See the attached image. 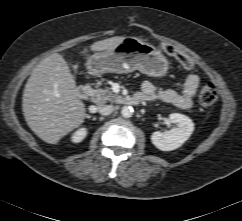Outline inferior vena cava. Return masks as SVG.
<instances>
[{
  "mask_svg": "<svg viewBox=\"0 0 242 221\" xmlns=\"http://www.w3.org/2000/svg\"><path fill=\"white\" fill-rule=\"evenodd\" d=\"M98 111L101 115L107 116L114 111V106H112V105H99Z\"/></svg>",
  "mask_w": 242,
  "mask_h": 221,
  "instance_id": "inferior-vena-cava-1",
  "label": "inferior vena cava"
}]
</instances>
